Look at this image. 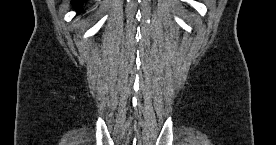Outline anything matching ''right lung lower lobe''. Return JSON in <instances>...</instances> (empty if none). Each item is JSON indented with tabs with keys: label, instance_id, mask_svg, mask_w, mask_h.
Segmentation results:
<instances>
[{
	"label": "right lung lower lobe",
	"instance_id": "1",
	"mask_svg": "<svg viewBox=\"0 0 276 145\" xmlns=\"http://www.w3.org/2000/svg\"><path fill=\"white\" fill-rule=\"evenodd\" d=\"M84 1L83 0H74L73 3L77 6H80Z\"/></svg>",
	"mask_w": 276,
	"mask_h": 145
}]
</instances>
